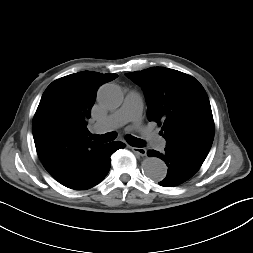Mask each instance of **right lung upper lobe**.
I'll use <instances>...</instances> for the list:
<instances>
[{"label":"right lung upper lobe","instance_id":"cb5924a9","mask_svg":"<svg viewBox=\"0 0 253 253\" xmlns=\"http://www.w3.org/2000/svg\"><path fill=\"white\" fill-rule=\"evenodd\" d=\"M117 77L83 71L55 80L42 95L32 124L36 150L50 175L68 188L94 171L103 144L88 138L87 120L98 88Z\"/></svg>","mask_w":253,"mask_h":253}]
</instances>
